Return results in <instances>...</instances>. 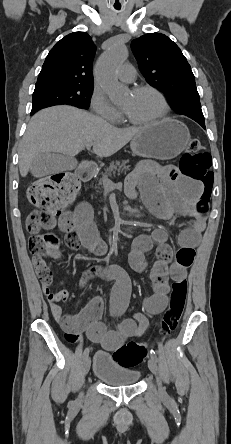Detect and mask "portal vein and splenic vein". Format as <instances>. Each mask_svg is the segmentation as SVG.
Returning <instances> with one entry per match:
<instances>
[{
  "instance_id": "18ae733b",
  "label": "portal vein and splenic vein",
  "mask_w": 231,
  "mask_h": 444,
  "mask_svg": "<svg viewBox=\"0 0 231 444\" xmlns=\"http://www.w3.org/2000/svg\"><path fill=\"white\" fill-rule=\"evenodd\" d=\"M92 145H93V143H88V144H86V148H87L88 150H90L91 147H92ZM102 182H103L104 187H109V188H115V187H117V185L114 184V183L112 182V180H110L107 176H104V177L102 178Z\"/></svg>"
}]
</instances>
